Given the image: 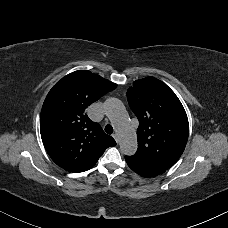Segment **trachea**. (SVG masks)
<instances>
[{
	"label": "trachea",
	"instance_id": "3493384b",
	"mask_svg": "<svg viewBox=\"0 0 228 228\" xmlns=\"http://www.w3.org/2000/svg\"><path fill=\"white\" fill-rule=\"evenodd\" d=\"M105 132H106L107 134H112V133H113V127H112L110 124H107V125L105 126Z\"/></svg>",
	"mask_w": 228,
	"mask_h": 228
}]
</instances>
